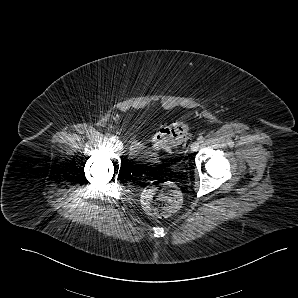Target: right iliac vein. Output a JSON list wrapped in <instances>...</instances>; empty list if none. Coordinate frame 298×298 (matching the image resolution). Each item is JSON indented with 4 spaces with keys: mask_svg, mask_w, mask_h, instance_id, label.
I'll return each mask as SVG.
<instances>
[{
    "mask_svg": "<svg viewBox=\"0 0 298 298\" xmlns=\"http://www.w3.org/2000/svg\"><path fill=\"white\" fill-rule=\"evenodd\" d=\"M116 147L118 150H122L123 149V143L119 140L116 141L115 143Z\"/></svg>",
    "mask_w": 298,
    "mask_h": 298,
    "instance_id": "right-iliac-vein-1",
    "label": "right iliac vein"
}]
</instances>
